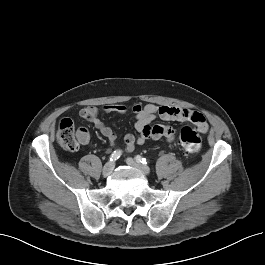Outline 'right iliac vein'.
<instances>
[{
    "mask_svg": "<svg viewBox=\"0 0 265 265\" xmlns=\"http://www.w3.org/2000/svg\"><path fill=\"white\" fill-rule=\"evenodd\" d=\"M114 166V162H107L102 169V175L104 177H108L112 173Z\"/></svg>",
    "mask_w": 265,
    "mask_h": 265,
    "instance_id": "obj_1",
    "label": "right iliac vein"
}]
</instances>
